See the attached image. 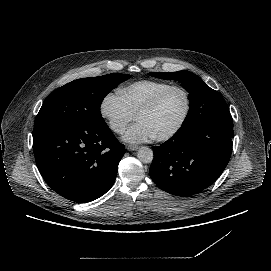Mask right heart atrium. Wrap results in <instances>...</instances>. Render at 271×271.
<instances>
[{
  "instance_id": "obj_1",
  "label": "right heart atrium",
  "mask_w": 271,
  "mask_h": 271,
  "mask_svg": "<svg viewBox=\"0 0 271 271\" xmlns=\"http://www.w3.org/2000/svg\"><path fill=\"white\" fill-rule=\"evenodd\" d=\"M98 111L109 129L116 134L124 133L134 119V115L126 108L121 96L112 90L103 95Z\"/></svg>"
}]
</instances>
